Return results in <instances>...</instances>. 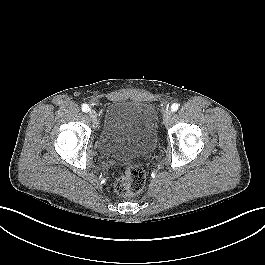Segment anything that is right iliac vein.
I'll list each match as a JSON object with an SVG mask.
<instances>
[{"label":"right iliac vein","instance_id":"right-iliac-vein-1","mask_svg":"<svg viewBox=\"0 0 265 265\" xmlns=\"http://www.w3.org/2000/svg\"><path fill=\"white\" fill-rule=\"evenodd\" d=\"M88 115L92 119L94 125H97V113H96V111L95 110H90Z\"/></svg>","mask_w":265,"mask_h":265}]
</instances>
